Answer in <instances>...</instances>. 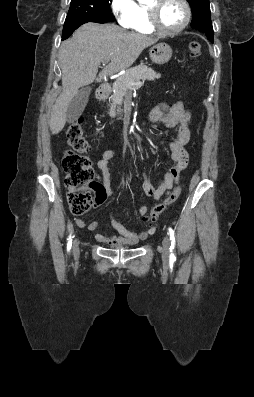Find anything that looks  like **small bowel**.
<instances>
[{"label": "small bowel", "mask_w": 254, "mask_h": 397, "mask_svg": "<svg viewBox=\"0 0 254 397\" xmlns=\"http://www.w3.org/2000/svg\"><path fill=\"white\" fill-rule=\"evenodd\" d=\"M191 121V114L185 108L182 101H178L173 105L166 103H160L153 108L148 115V122L155 123L160 122L167 128L178 129L176 137L169 142V149L171 151V165L169 169L164 173L161 182L155 186L147 174L143 175L142 189L146 195L152 196L158 201L162 196L169 194L172 187L178 182L181 172L187 167L189 156L185 149V146L190 140V128L189 124ZM114 156V151L109 149L103 153L102 158L97 162L98 170L102 176V182L97 184L95 188L97 199L94 204V208H98L105 203V201L113 196V190L111 187V174L109 162ZM148 211L147 206H140L138 213L140 215L146 214ZM110 223L112 227L117 231L116 235H105L100 232L99 225L96 222H91L88 225L90 231L94 233V237L97 241L107 245H132L140 241L147 239L155 231V226L143 230L141 232H132L122 225L114 216V213H110ZM76 224L79 227H84L86 224L81 219H76Z\"/></svg>", "instance_id": "c3829d8e"}]
</instances>
